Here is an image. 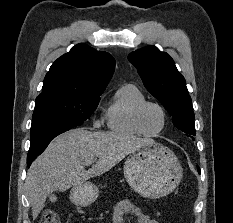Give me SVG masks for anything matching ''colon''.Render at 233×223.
<instances>
[{"instance_id": "colon-1", "label": "colon", "mask_w": 233, "mask_h": 223, "mask_svg": "<svg viewBox=\"0 0 233 223\" xmlns=\"http://www.w3.org/2000/svg\"><path fill=\"white\" fill-rule=\"evenodd\" d=\"M42 223H59L56 212L52 209L44 210L42 214Z\"/></svg>"}]
</instances>
